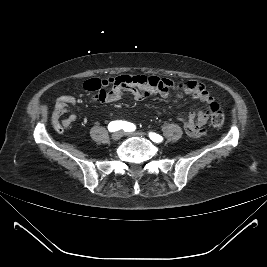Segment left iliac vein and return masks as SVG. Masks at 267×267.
I'll return each instance as SVG.
<instances>
[{"label":"left iliac vein","mask_w":267,"mask_h":267,"mask_svg":"<svg viewBox=\"0 0 267 267\" xmlns=\"http://www.w3.org/2000/svg\"><path fill=\"white\" fill-rule=\"evenodd\" d=\"M128 136H137V137H144L147 134L145 132L142 131H135V132H129L127 133Z\"/></svg>","instance_id":"obj_1"}]
</instances>
